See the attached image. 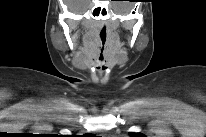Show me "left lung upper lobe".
Segmentation results:
<instances>
[{"mask_svg":"<svg viewBox=\"0 0 206 137\" xmlns=\"http://www.w3.org/2000/svg\"><path fill=\"white\" fill-rule=\"evenodd\" d=\"M129 135L131 136V137H143L144 135L143 134H140V133H129Z\"/></svg>","mask_w":206,"mask_h":137,"instance_id":"obj_1","label":"left lung upper lobe"}]
</instances>
